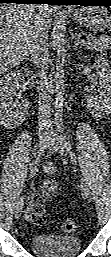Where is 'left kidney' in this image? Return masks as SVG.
<instances>
[{
  "label": "left kidney",
  "instance_id": "5707ae66",
  "mask_svg": "<svg viewBox=\"0 0 111 257\" xmlns=\"http://www.w3.org/2000/svg\"><path fill=\"white\" fill-rule=\"evenodd\" d=\"M93 68L99 77V83L103 88V92L99 96H91L88 99V106L97 114H101L111 110V68L107 60L101 56L97 57Z\"/></svg>",
  "mask_w": 111,
  "mask_h": 257
}]
</instances>
